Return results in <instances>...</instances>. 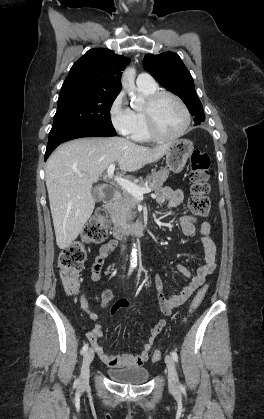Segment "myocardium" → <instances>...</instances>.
Masks as SVG:
<instances>
[{
	"instance_id": "1",
	"label": "myocardium",
	"mask_w": 264,
	"mask_h": 419,
	"mask_svg": "<svg viewBox=\"0 0 264 419\" xmlns=\"http://www.w3.org/2000/svg\"><path fill=\"white\" fill-rule=\"evenodd\" d=\"M165 96H168L174 99L179 104L184 114V124H183L182 129L177 134L172 135V136H167L161 133L158 127L157 118H156L157 104L160 101V99ZM144 113H145L147 128H148V132L150 136L152 137V139L161 141V142H172L181 138L182 136L185 135L191 123V115L185 102L177 94L171 91H167V90H159V91L154 92L152 95H150L147 98L146 105L144 107Z\"/></svg>"
}]
</instances>
